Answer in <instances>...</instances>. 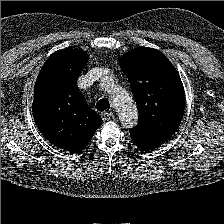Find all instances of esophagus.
Returning a JSON list of instances; mask_svg holds the SVG:
<instances>
[{
  "label": "esophagus",
  "mask_w": 224,
  "mask_h": 224,
  "mask_svg": "<svg viewBox=\"0 0 224 224\" xmlns=\"http://www.w3.org/2000/svg\"><path fill=\"white\" fill-rule=\"evenodd\" d=\"M101 118L103 121H109L113 118V113L109 111L102 112Z\"/></svg>",
  "instance_id": "esophagus-1"
}]
</instances>
